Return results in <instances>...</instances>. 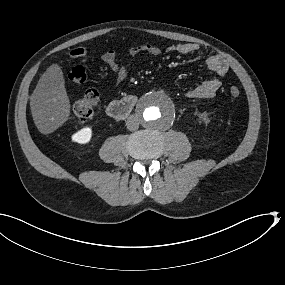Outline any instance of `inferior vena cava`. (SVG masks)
I'll return each mask as SVG.
<instances>
[{"mask_svg": "<svg viewBox=\"0 0 285 285\" xmlns=\"http://www.w3.org/2000/svg\"><path fill=\"white\" fill-rule=\"evenodd\" d=\"M126 126H127V129H129V130H131V131L137 130L138 127H139V120H138V117H137L136 115H130V116L127 118Z\"/></svg>", "mask_w": 285, "mask_h": 285, "instance_id": "602c4592", "label": "inferior vena cava"}]
</instances>
